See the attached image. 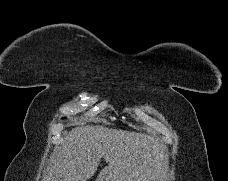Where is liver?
<instances>
[{"mask_svg": "<svg viewBox=\"0 0 228 181\" xmlns=\"http://www.w3.org/2000/svg\"><path fill=\"white\" fill-rule=\"evenodd\" d=\"M168 157L165 145L149 135L82 125L65 135L44 179L89 181L104 159L107 167L98 175L101 181H162Z\"/></svg>", "mask_w": 228, "mask_h": 181, "instance_id": "obj_1", "label": "liver"}]
</instances>
